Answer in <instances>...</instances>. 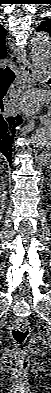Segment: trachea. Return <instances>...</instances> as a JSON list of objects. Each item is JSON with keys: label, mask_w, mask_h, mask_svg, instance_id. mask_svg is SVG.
Listing matches in <instances>:
<instances>
[{"label": "trachea", "mask_w": 51, "mask_h": 393, "mask_svg": "<svg viewBox=\"0 0 51 393\" xmlns=\"http://www.w3.org/2000/svg\"><path fill=\"white\" fill-rule=\"evenodd\" d=\"M15 77V72L11 68L7 67L5 70L0 72V83H12Z\"/></svg>", "instance_id": "1"}]
</instances>
